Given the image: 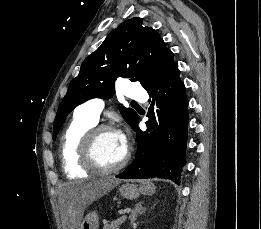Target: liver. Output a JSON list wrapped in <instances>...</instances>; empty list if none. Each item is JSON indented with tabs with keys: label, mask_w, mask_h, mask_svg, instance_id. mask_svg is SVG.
Here are the masks:
<instances>
[{
	"label": "liver",
	"mask_w": 261,
	"mask_h": 229,
	"mask_svg": "<svg viewBox=\"0 0 261 229\" xmlns=\"http://www.w3.org/2000/svg\"><path fill=\"white\" fill-rule=\"evenodd\" d=\"M120 183L121 179L104 177V179H95L91 183H74L72 187H68L67 201L69 203H67L65 211L66 215H68V223L64 221L65 227H68V229H78L87 205H90L92 201H97L103 195L111 193L112 189H115Z\"/></svg>",
	"instance_id": "6515ba94"
}]
</instances>
